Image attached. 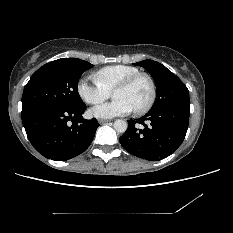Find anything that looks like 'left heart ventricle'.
Instances as JSON below:
<instances>
[{"label": "left heart ventricle", "mask_w": 233, "mask_h": 233, "mask_svg": "<svg viewBox=\"0 0 233 233\" xmlns=\"http://www.w3.org/2000/svg\"><path fill=\"white\" fill-rule=\"evenodd\" d=\"M150 95L148 82L141 78L128 88L116 90L112 96L114 99H124L131 104L133 109H138L145 105Z\"/></svg>", "instance_id": "b2bd125f"}]
</instances>
